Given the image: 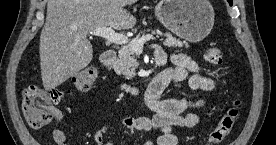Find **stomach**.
<instances>
[{
    "label": "stomach",
    "instance_id": "obj_1",
    "mask_svg": "<svg viewBox=\"0 0 276 145\" xmlns=\"http://www.w3.org/2000/svg\"><path fill=\"white\" fill-rule=\"evenodd\" d=\"M155 15L171 32L193 43L202 41L214 25V11L208 0H161Z\"/></svg>",
    "mask_w": 276,
    "mask_h": 145
}]
</instances>
